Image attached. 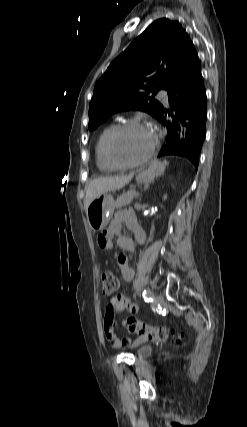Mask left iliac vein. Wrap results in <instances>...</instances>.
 Listing matches in <instances>:
<instances>
[{
  "label": "left iliac vein",
  "instance_id": "left-iliac-vein-1",
  "mask_svg": "<svg viewBox=\"0 0 247 427\" xmlns=\"http://www.w3.org/2000/svg\"><path fill=\"white\" fill-rule=\"evenodd\" d=\"M154 300H155V302H156V303L161 304V303L164 301V298H163V296H162V295H160V294H156V295L154 296Z\"/></svg>",
  "mask_w": 247,
  "mask_h": 427
}]
</instances>
